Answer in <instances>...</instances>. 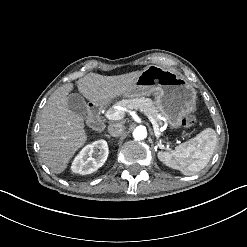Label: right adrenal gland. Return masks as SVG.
<instances>
[{
    "instance_id": "1",
    "label": "right adrenal gland",
    "mask_w": 247,
    "mask_h": 247,
    "mask_svg": "<svg viewBox=\"0 0 247 247\" xmlns=\"http://www.w3.org/2000/svg\"><path fill=\"white\" fill-rule=\"evenodd\" d=\"M106 137L110 138L111 136L110 135H106Z\"/></svg>"
}]
</instances>
